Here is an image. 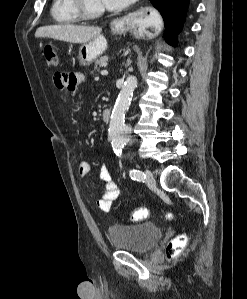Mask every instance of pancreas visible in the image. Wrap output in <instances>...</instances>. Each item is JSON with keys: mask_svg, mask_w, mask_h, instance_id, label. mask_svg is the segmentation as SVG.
<instances>
[{"mask_svg": "<svg viewBox=\"0 0 247 299\" xmlns=\"http://www.w3.org/2000/svg\"><path fill=\"white\" fill-rule=\"evenodd\" d=\"M109 60L108 56H103L95 62L94 71H99L101 67H104Z\"/></svg>", "mask_w": 247, "mask_h": 299, "instance_id": "obj_1", "label": "pancreas"}]
</instances>
